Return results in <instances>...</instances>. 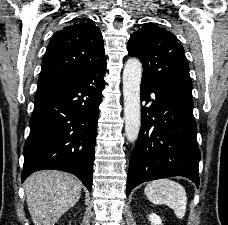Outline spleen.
Here are the masks:
<instances>
[{"instance_id": "3e777b00", "label": "spleen", "mask_w": 228, "mask_h": 225, "mask_svg": "<svg viewBox=\"0 0 228 225\" xmlns=\"http://www.w3.org/2000/svg\"><path fill=\"white\" fill-rule=\"evenodd\" d=\"M145 195L154 205H167L177 219H183L187 207V193L179 183L170 179L151 181L145 189Z\"/></svg>"}]
</instances>
